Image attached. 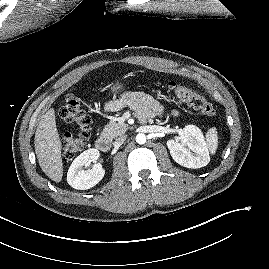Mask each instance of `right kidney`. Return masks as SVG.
<instances>
[{
    "mask_svg": "<svg viewBox=\"0 0 269 269\" xmlns=\"http://www.w3.org/2000/svg\"><path fill=\"white\" fill-rule=\"evenodd\" d=\"M100 153L97 149L91 148L81 153L71 164L67 173L68 184L78 190H86L98 184L105 175V170L96 161ZM95 163L92 169L83 170L87 163Z\"/></svg>",
    "mask_w": 269,
    "mask_h": 269,
    "instance_id": "right-kidney-1",
    "label": "right kidney"
}]
</instances>
